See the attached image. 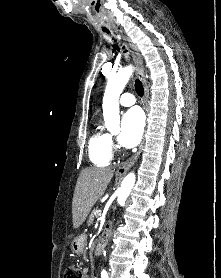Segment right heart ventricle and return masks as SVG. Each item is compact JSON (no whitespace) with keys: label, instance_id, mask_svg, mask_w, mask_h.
<instances>
[{"label":"right heart ventricle","instance_id":"1","mask_svg":"<svg viewBox=\"0 0 221 278\" xmlns=\"http://www.w3.org/2000/svg\"><path fill=\"white\" fill-rule=\"evenodd\" d=\"M88 150L90 160L94 165L100 167L109 165L112 160L110 135L97 128L89 139Z\"/></svg>","mask_w":221,"mask_h":278}]
</instances>
